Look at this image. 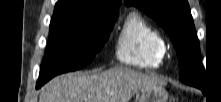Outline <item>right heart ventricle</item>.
I'll use <instances>...</instances> for the list:
<instances>
[{
    "mask_svg": "<svg viewBox=\"0 0 221 102\" xmlns=\"http://www.w3.org/2000/svg\"><path fill=\"white\" fill-rule=\"evenodd\" d=\"M115 53L127 65L155 69L164 61L166 43L160 31L142 14L133 11L119 28Z\"/></svg>",
    "mask_w": 221,
    "mask_h": 102,
    "instance_id": "e07e8e85",
    "label": "right heart ventricle"
}]
</instances>
